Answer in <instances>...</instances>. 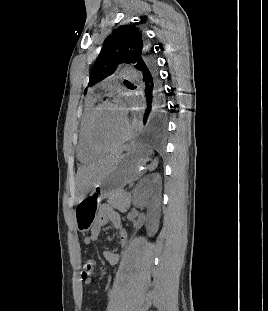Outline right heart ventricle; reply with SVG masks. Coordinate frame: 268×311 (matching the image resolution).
Segmentation results:
<instances>
[{
	"label": "right heart ventricle",
	"instance_id": "1",
	"mask_svg": "<svg viewBox=\"0 0 268 311\" xmlns=\"http://www.w3.org/2000/svg\"><path fill=\"white\" fill-rule=\"evenodd\" d=\"M94 107H95V100L92 99L86 105V108L80 119L79 138H78V144H77V155L80 161L82 162L92 161L99 156V153L93 151L89 147L87 140H86V134H85L86 121H87V118L90 112L92 111Z\"/></svg>",
	"mask_w": 268,
	"mask_h": 311
}]
</instances>
